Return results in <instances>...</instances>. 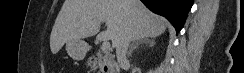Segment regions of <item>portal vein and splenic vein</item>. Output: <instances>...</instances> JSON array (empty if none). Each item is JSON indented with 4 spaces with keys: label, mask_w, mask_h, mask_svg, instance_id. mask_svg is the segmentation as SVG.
<instances>
[{
    "label": "portal vein and splenic vein",
    "mask_w": 244,
    "mask_h": 73,
    "mask_svg": "<svg viewBox=\"0 0 244 73\" xmlns=\"http://www.w3.org/2000/svg\"><path fill=\"white\" fill-rule=\"evenodd\" d=\"M102 49L106 52L111 49L110 42L107 39L103 40Z\"/></svg>",
    "instance_id": "18ae733b"
}]
</instances>
